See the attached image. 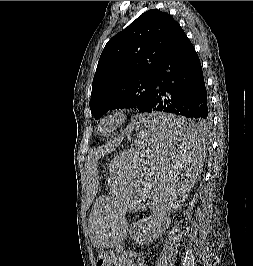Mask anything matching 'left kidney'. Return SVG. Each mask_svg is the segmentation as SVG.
<instances>
[{
	"label": "left kidney",
	"mask_w": 253,
	"mask_h": 266,
	"mask_svg": "<svg viewBox=\"0 0 253 266\" xmlns=\"http://www.w3.org/2000/svg\"><path fill=\"white\" fill-rule=\"evenodd\" d=\"M159 225V218H146L133 223L129 229V234L137 243L145 244L156 237V229L159 228Z\"/></svg>",
	"instance_id": "left-kidney-1"
}]
</instances>
